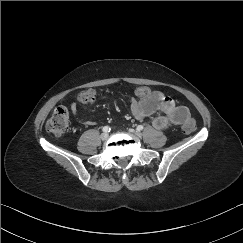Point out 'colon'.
<instances>
[{
  "label": "colon",
  "mask_w": 243,
  "mask_h": 243,
  "mask_svg": "<svg viewBox=\"0 0 243 243\" xmlns=\"http://www.w3.org/2000/svg\"><path fill=\"white\" fill-rule=\"evenodd\" d=\"M95 94L91 88L84 89L79 93L78 100L83 104H89L94 101ZM68 111L65 107H56L50 118L46 122V130L57 137L65 135L68 131ZM196 123L193 119H188L183 125L185 133H191L195 130Z\"/></svg>",
  "instance_id": "obj_1"
}]
</instances>
